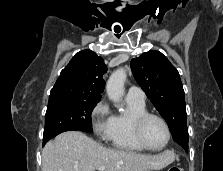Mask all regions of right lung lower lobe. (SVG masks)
<instances>
[{
    "label": "right lung lower lobe",
    "mask_w": 223,
    "mask_h": 171,
    "mask_svg": "<svg viewBox=\"0 0 223 171\" xmlns=\"http://www.w3.org/2000/svg\"><path fill=\"white\" fill-rule=\"evenodd\" d=\"M70 130H76V129H73V128H67V129H64V130L60 131L59 133H57V135L60 134V133H62V132L70 131ZM46 142H47V141H43V145H44Z\"/></svg>",
    "instance_id": "1"
}]
</instances>
